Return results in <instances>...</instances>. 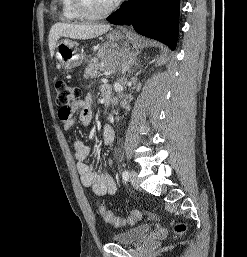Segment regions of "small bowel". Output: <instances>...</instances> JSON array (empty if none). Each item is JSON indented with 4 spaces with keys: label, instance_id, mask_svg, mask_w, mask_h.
Returning <instances> with one entry per match:
<instances>
[{
    "label": "small bowel",
    "instance_id": "1",
    "mask_svg": "<svg viewBox=\"0 0 247 257\" xmlns=\"http://www.w3.org/2000/svg\"><path fill=\"white\" fill-rule=\"evenodd\" d=\"M92 98L87 96L83 100L74 102L68 110H59V119L63 122L66 131L72 129L76 121L83 125H89L92 120ZM115 137L114 129L110 125H105L102 129L101 141L103 145H109ZM75 158L77 160V171L80 175L83 186L92 189L97 196L113 195L116 193L117 185L114 178L107 172L94 171L86 163L90 155V147L81 140H76L73 144Z\"/></svg>",
    "mask_w": 247,
    "mask_h": 257
}]
</instances>
